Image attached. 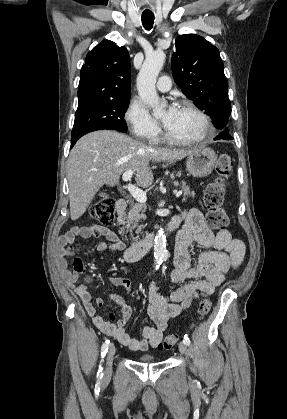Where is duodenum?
I'll list each match as a JSON object with an SVG mask.
<instances>
[{
	"instance_id": "1",
	"label": "duodenum",
	"mask_w": 287,
	"mask_h": 419,
	"mask_svg": "<svg viewBox=\"0 0 287 419\" xmlns=\"http://www.w3.org/2000/svg\"><path fill=\"white\" fill-rule=\"evenodd\" d=\"M127 208V201L120 199L117 201L116 210L119 214L123 213ZM174 227L170 225L167 230L171 231ZM155 234L151 233L143 239L134 242L124 250V259L127 262H134L144 256L152 247Z\"/></svg>"
}]
</instances>
